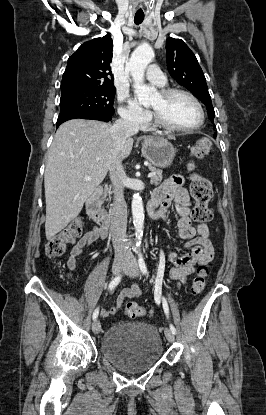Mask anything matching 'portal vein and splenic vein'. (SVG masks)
<instances>
[{"label": "portal vein and splenic vein", "mask_w": 266, "mask_h": 415, "mask_svg": "<svg viewBox=\"0 0 266 415\" xmlns=\"http://www.w3.org/2000/svg\"><path fill=\"white\" fill-rule=\"evenodd\" d=\"M155 175V173L154 172H151V173H149L148 174V178H151L152 176H154ZM86 180H90L91 179V177L90 176H87L86 178H85Z\"/></svg>", "instance_id": "1"}]
</instances>
